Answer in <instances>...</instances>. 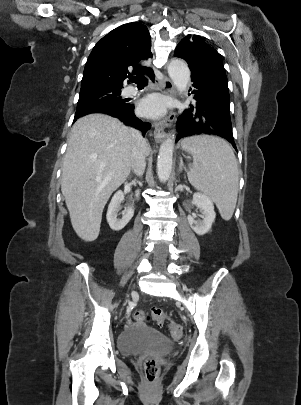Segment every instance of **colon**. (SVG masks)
Returning <instances> with one entry per match:
<instances>
[{
	"label": "colon",
	"mask_w": 301,
	"mask_h": 405,
	"mask_svg": "<svg viewBox=\"0 0 301 405\" xmlns=\"http://www.w3.org/2000/svg\"><path fill=\"white\" fill-rule=\"evenodd\" d=\"M167 316L161 309H153L151 312H145L138 310L134 313V319L137 322L154 321L158 325H161ZM171 334L175 338H180L183 334L182 327L179 324L171 323L170 326ZM144 368L146 373V378L149 382H154L158 378L161 367L158 361L153 357H148L144 362Z\"/></svg>",
	"instance_id": "1"
}]
</instances>
